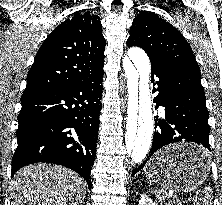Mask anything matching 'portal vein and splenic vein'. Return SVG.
Here are the masks:
<instances>
[{"label":"portal vein and splenic vein","mask_w":222,"mask_h":205,"mask_svg":"<svg viewBox=\"0 0 222 205\" xmlns=\"http://www.w3.org/2000/svg\"><path fill=\"white\" fill-rule=\"evenodd\" d=\"M165 194L168 196V197H173L175 198V194H174V191L172 189H169L168 191H165ZM177 202H179V205H181V203H185V201H183L182 199H176Z\"/></svg>","instance_id":"1"}]
</instances>
